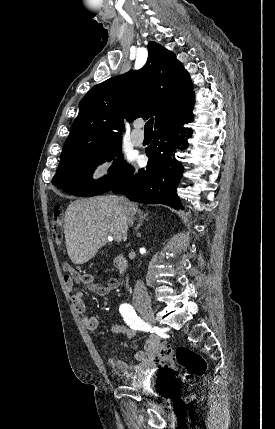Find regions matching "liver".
<instances>
[{
  "label": "liver",
  "instance_id": "obj_1",
  "mask_svg": "<svg viewBox=\"0 0 275 429\" xmlns=\"http://www.w3.org/2000/svg\"><path fill=\"white\" fill-rule=\"evenodd\" d=\"M138 205L123 197L96 196L72 202L65 212L64 233L69 258L84 264L107 243L109 235L127 240L128 213L135 215Z\"/></svg>",
  "mask_w": 275,
  "mask_h": 429
}]
</instances>
